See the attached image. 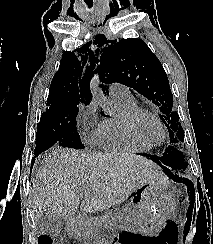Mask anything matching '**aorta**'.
Segmentation results:
<instances>
[{"mask_svg":"<svg viewBox=\"0 0 213 244\" xmlns=\"http://www.w3.org/2000/svg\"><path fill=\"white\" fill-rule=\"evenodd\" d=\"M90 90L93 96V100L100 104L103 108H105V111L110 114L111 113V109L109 106V101L107 99V97L104 95L101 87H100V80H99V76L95 75L91 81V85H90Z\"/></svg>","mask_w":213,"mask_h":244,"instance_id":"762f6f07","label":"aorta"}]
</instances>
